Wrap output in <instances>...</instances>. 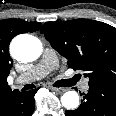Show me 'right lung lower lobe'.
Masks as SVG:
<instances>
[{
    "label": "right lung lower lobe",
    "instance_id": "1",
    "mask_svg": "<svg viewBox=\"0 0 116 116\" xmlns=\"http://www.w3.org/2000/svg\"><path fill=\"white\" fill-rule=\"evenodd\" d=\"M37 90L20 92L14 90L0 101V116H31Z\"/></svg>",
    "mask_w": 116,
    "mask_h": 116
}]
</instances>
